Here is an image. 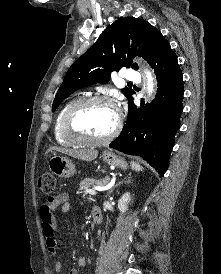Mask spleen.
Returning <instances> with one entry per match:
<instances>
[{
    "label": "spleen",
    "mask_w": 221,
    "mask_h": 274,
    "mask_svg": "<svg viewBox=\"0 0 221 274\" xmlns=\"http://www.w3.org/2000/svg\"><path fill=\"white\" fill-rule=\"evenodd\" d=\"M131 167L133 170L138 171V172L143 170V167L134 161L131 162Z\"/></svg>",
    "instance_id": "obj_1"
}]
</instances>
